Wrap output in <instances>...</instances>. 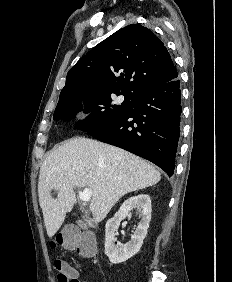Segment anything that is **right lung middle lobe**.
Here are the masks:
<instances>
[{"label": "right lung middle lobe", "instance_id": "dd1d6c3e", "mask_svg": "<svg viewBox=\"0 0 232 282\" xmlns=\"http://www.w3.org/2000/svg\"><path fill=\"white\" fill-rule=\"evenodd\" d=\"M123 95L124 101L117 104L112 100V95ZM135 94L126 91H106L96 92L90 94H76L58 101L54 112V119H64L65 121L75 117L78 111L83 110L89 113L86 119L77 123L76 128L82 131H89L111 120L119 117L120 115L128 112L134 103ZM82 100L85 101V108L83 109Z\"/></svg>", "mask_w": 232, "mask_h": 282}]
</instances>
